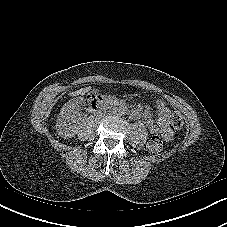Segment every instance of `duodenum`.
Masks as SVG:
<instances>
[{
    "mask_svg": "<svg viewBox=\"0 0 227 227\" xmlns=\"http://www.w3.org/2000/svg\"><path fill=\"white\" fill-rule=\"evenodd\" d=\"M87 103L91 107L92 111L96 112L102 109L105 105L103 96L98 92L91 93L87 98ZM128 115L135 119L138 117V112L135 110H129Z\"/></svg>",
    "mask_w": 227,
    "mask_h": 227,
    "instance_id": "1",
    "label": "duodenum"
}]
</instances>
